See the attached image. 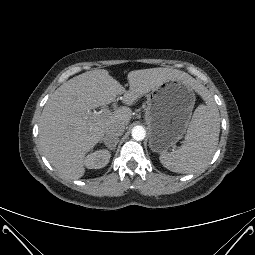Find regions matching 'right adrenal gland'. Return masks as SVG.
<instances>
[{
	"label": "right adrenal gland",
	"instance_id": "2a0ac1e0",
	"mask_svg": "<svg viewBox=\"0 0 255 255\" xmlns=\"http://www.w3.org/2000/svg\"><path fill=\"white\" fill-rule=\"evenodd\" d=\"M102 142L105 143L104 139L100 141V143H102ZM117 143H118V142H116L113 146H108V145H106V144H105V145H106V147H107L109 150L115 151L116 146H117Z\"/></svg>",
	"mask_w": 255,
	"mask_h": 255
}]
</instances>
